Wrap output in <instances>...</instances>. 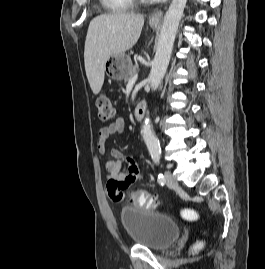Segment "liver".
Wrapping results in <instances>:
<instances>
[{
    "label": "liver",
    "instance_id": "liver-1",
    "mask_svg": "<svg viewBox=\"0 0 265 269\" xmlns=\"http://www.w3.org/2000/svg\"><path fill=\"white\" fill-rule=\"evenodd\" d=\"M143 25V15L128 12L101 14L91 20L85 41L84 63L95 95L104 83L106 61L112 55L131 49L138 41Z\"/></svg>",
    "mask_w": 265,
    "mask_h": 269
}]
</instances>
